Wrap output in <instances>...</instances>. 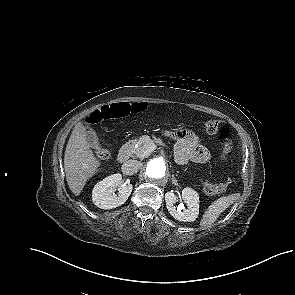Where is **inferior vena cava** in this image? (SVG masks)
Instances as JSON below:
<instances>
[{
    "label": "inferior vena cava",
    "mask_w": 295,
    "mask_h": 295,
    "mask_svg": "<svg viewBox=\"0 0 295 295\" xmlns=\"http://www.w3.org/2000/svg\"><path fill=\"white\" fill-rule=\"evenodd\" d=\"M141 162L138 160H128L122 165V172L125 175H133L138 172Z\"/></svg>",
    "instance_id": "1"
}]
</instances>
